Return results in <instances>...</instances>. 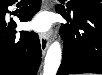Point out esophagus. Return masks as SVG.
Masks as SVG:
<instances>
[{"mask_svg":"<svg viewBox=\"0 0 102 75\" xmlns=\"http://www.w3.org/2000/svg\"><path fill=\"white\" fill-rule=\"evenodd\" d=\"M39 38H40V44H41V51H42V54L44 55L50 43V35L41 33Z\"/></svg>","mask_w":102,"mask_h":75,"instance_id":"1","label":"esophagus"}]
</instances>
